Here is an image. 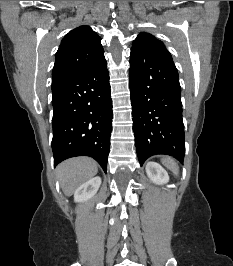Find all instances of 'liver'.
Returning a JSON list of instances; mask_svg holds the SVG:
<instances>
[{
	"label": "liver",
	"instance_id": "1",
	"mask_svg": "<svg viewBox=\"0 0 233 266\" xmlns=\"http://www.w3.org/2000/svg\"><path fill=\"white\" fill-rule=\"evenodd\" d=\"M56 170L66 196H71L79 186L92 179L98 172L97 163L89 157L65 160Z\"/></svg>",
	"mask_w": 233,
	"mask_h": 266
}]
</instances>
